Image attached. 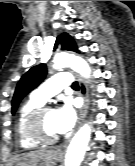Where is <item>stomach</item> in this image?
I'll return each instance as SVG.
<instances>
[{
  "label": "stomach",
  "mask_w": 135,
  "mask_h": 166,
  "mask_svg": "<svg viewBox=\"0 0 135 166\" xmlns=\"http://www.w3.org/2000/svg\"><path fill=\"white\" fill-rule=\"evenodd\" d=\"M59 159H60L59 153L57 151H51V154H50L51 164L55 161H58ZM10 166H16V164L13 163ZM32 166H52V165H45L42 161H39V162H37L36 164H34Z\"/></svg>",
  "instance_id": "0dacf381"
}]
</instances>
